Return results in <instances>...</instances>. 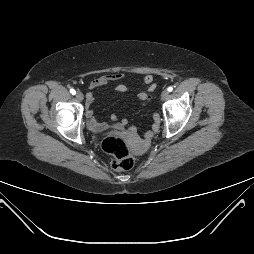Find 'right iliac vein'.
<instances>
[{
  "label": "right iliac vein",
  "instance_id": "1",
  "mask_svg": "<svg viewBox=\"0 0 254 254\" xmlns=\"http://www.w3.org/2000/svg\"><path fill=\"white\" fill-rule=\"evenodd\" d=\"M76 98L79 100V101H82L84 99V96L82 94V92L78 91L76 93Z\"/></svg>",
  "mask_w": 254,
  "mask_h": 254
}]
</instances>
